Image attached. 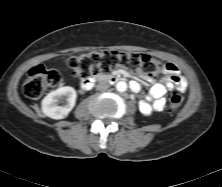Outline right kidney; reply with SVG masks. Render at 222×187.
I'll return each mask as SVG.
<instances>
[{"label":"right kidney","mask_w":222,"mask_h":187,"mask_svg":"<svg viewBox=\"0 0 222 187\" xmlns=\"http://www.w3.org/2000/svg\"><path fill=\"white\" fill-rule=\"evenodd\" d=\"M76 97L77 94L73 87H60L44 97L42 100V112L52 119H63L74 108ZM59 102L64 104L59 106Z\"/></svg>","instance_id":"right-kidney-1"}]
</instances>
